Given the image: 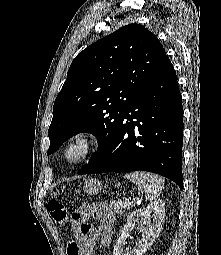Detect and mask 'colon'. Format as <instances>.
I'll return each mask as SVG.
<instances>
[{
    "label": "colon",
    "instance_id": "colon-1",
    "mask_svg": "<svg viewBox=\"0 0 221 255\" xmlns=\"http://www.w3.org/2000/svg\"><path fill=\"white\" fill-rule=\"evenodd\" d=\"M47 209L54 222L58 226H66L68 223V213L65 206L57 200H51L47 204ZM92 205H84L75 211L70 222L76 230H84L86 221L91 217Z\"/></svg>",
    "mask_w": 221,
    "mask_h": 255
}]
</instances>
